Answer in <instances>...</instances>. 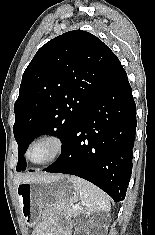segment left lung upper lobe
I'll list each match as a JSON object with an SVG mask.
<instances>
[{"mask_svg":"<svg viewBox=\"0 0 155 235\" xmlns=\"http://www.w3.org/2000/svg\"><path fill=\"white\" fill-rule=\"evenodd\" d=\"M119 60L96 36L66 32L47 42L23 73L14 105L13 132L18 143L16 170L24 171V153L37 136L60 137L62 148L87 106Z\"/></svg>","mask_w":155,"mask_h":235,"instance_id":"obj_1","label":"left lung upper lobe"}]
</instances>
